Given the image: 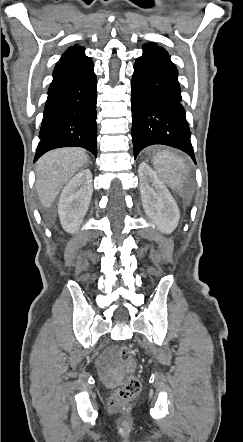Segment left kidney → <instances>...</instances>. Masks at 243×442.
Here are the masks:
<instances>
[{
  "label": "left kidney",
  "instance_id": "5707ae66",
  "mask_svg": "<svg viewBox=\"0 0 243 442\" xmlns=\"http://www.w3.org/2000/svg\"><path fill=\"white\" fill-rule=\"evenodd\" d=\"M138 173L141 199L146 215L162 233H172L180 219L177 203L147 163H140ZM150 183L152 186L149 185Z\"/></svg>",
  "mask_w": 243,
  "mask_h": 442
}]
</instances>
